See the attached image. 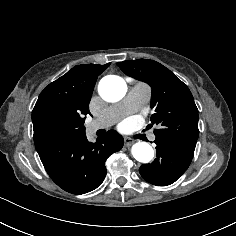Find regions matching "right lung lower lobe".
Returning <instances> with one entry per match:
<instances>
[{
	"instance_id": "right-lung-lower-lobe-1",
	"label": "right lung lower lobe",
	"mask_w": 236,
	"mask_h": 236,
	"mask_svg": "<svg viewBox=\"0 0 236 236\" xmlns=\"http://www.w3.org/2000/svg\"><path fill=\"white\" fill-rule=\"evenodd\" d=\"M124 139L109 131L97 142L85 133L37 145L40 159L52 180L67 192L84 194L96 189L106 176V159L119 151Z\"/></svg>"
}]
</instances>
